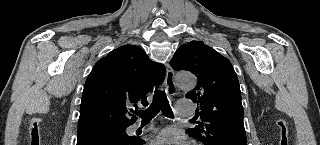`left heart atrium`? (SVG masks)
Wrapping results in <instances>:
<instances>
[{
    "mask_svg": "<svg viewBox=\"0 0 320 145\" xmlns=\"http://www.w3.org/2000/svg\"><path fill=\"white\" fill-rule=\"evenodd\" d=\"M152 145H187L186 138L175 129H166L151 139Z\"/></svg>",
    "mask_w": 320,
    "mask_h": 145,
    "instance_id": "obj_1",
    "label": "left heart atrium"
}]
</instances>
